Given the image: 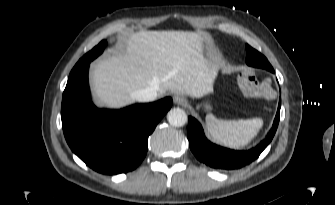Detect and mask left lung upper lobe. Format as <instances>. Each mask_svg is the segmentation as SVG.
Returning a JSON list of instances; mask_svg holds the SVG:
<instances>
[{
    "mask_svg": "<svg viewBox=\"0 0 335 205\" xmlns=\"http://www.w3.org/2000/svg\"><path fill=\"white\" fill-rule=\"evenodd\" d=\"M246 51H247L246 63L249 66L263 68L268 71L274 70L271 64L266 59V57L263 56L261 53H259L257 50L250 47L248 44L246 45Z\"/></svg>",
    "mask_w": 335,
    "mask_h": 205,
    "instance_id": "obj_1",
    "label": "left lung upper lobe"
}]
</instances>
